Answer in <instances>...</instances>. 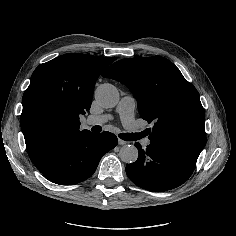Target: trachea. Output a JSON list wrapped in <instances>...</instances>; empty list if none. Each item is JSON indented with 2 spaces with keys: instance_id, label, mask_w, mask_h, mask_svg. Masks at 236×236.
I'll list each match as a JSON object with an SVG mask.
<instances>
[{
  "instance_id": "3493384b",
  "label": "trachea",
  "mask_w": 236,
  "mask_h": 236,
  "mask_svg": "<svg viewBox=\"0 0 236 236\" xmlns=\"http://www.w3.org/2000/svg\"><path fill=\"white\" fill-rule=\"evenodd\" d=\"M101 127L100 126H93L92 127V131L93 132H101ZM141 133L140 134H136V133H121L120 134V138L122 140H125V141H134V140H137L139 138H141Z\"/></svg>"
}]
</instances>
